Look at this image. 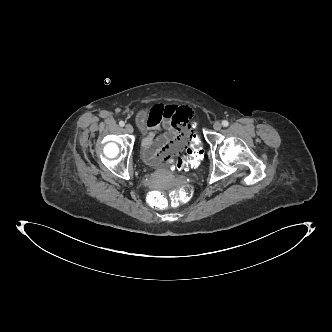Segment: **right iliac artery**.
<instances>
[{
  "label": "right iliac artery",
  "mask_w": 332,
  "mask_h": 332,
  "mask_svg": "<svg viewBox=\"0 0 332 332\" xmlns=\"http://www.w3.org/2000/svg\"><path fill=\"white\" fill-rule=\"evenodd\" d=\"M119 125H120L121 127H123V126L125 125L124 121H120V122H119Z\"/></svg>",
  "instance_id": "right-iliac-artery-1"
}]
</instances>
